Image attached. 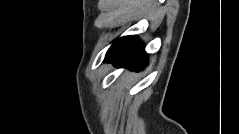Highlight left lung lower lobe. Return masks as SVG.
<instances>
[{
	"mask_svg": "<svg viewBox=\"0 0 239 134\" xmlns=\"http://www.w3.org/2000/svg\"><path fill=\"white\" fill-rule=\"evenodd\" d=\"M105 61L113 62L115 66L128 65L133 70H140L147 64V55L137 37L126 36L112 44Z\"/></svg>",
	"mask_w": 239,
	"mask_h": 134,
	"instance_id": "left-lung-lower-lobe-1",
	"label": "left lung lower lobe"
}]
</instances>
